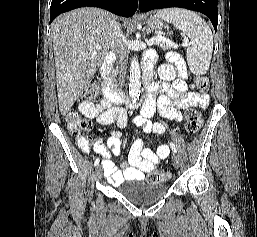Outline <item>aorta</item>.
Here are the masks:
<instances>
[{
  "mask_svg": "<svg viewBox=\"0 0 257 237\" xmlns=\"http://www.w3.org/2000/svg\"><path fill=\"white\" fill-rule=\"evenodd\" d=\"M140 77L141 71L139 61L134 56L130 63V83H129V95L132 99H138L140 97Z\"/></svg>",
  "mask_w": 257,
  "mask_h": 237,
  "instance_id": "762f6f07",
  "label": "aorta"
}]
</instances>
